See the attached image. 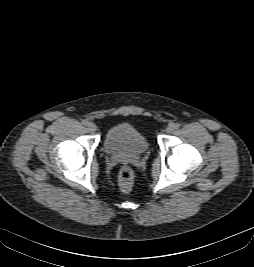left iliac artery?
<instances>
[{
  "label": "left iliac artery",
  "mask_w": 254,
  "mask_h": 267,
  "mask_svg": "<svg viewBox=\"0 0 254 267\" xmlns=\"http://www.w3.org/2000/svg\"><path fill=\"white\" fill-rule=\"evenodd\" d=\"M174 125H175V128H176V129H178V128L181 126L180 123H175Z\"/></svg>",
  "instance_id": "left-iliac-artery-1"
}]
</instances>
